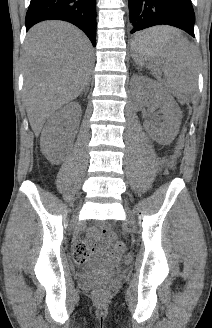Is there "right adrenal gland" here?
Returning a JSON list of instances; mask_svg holds the SVG:
<instances>
[{"instance_id": "1", "label": "right adrenal gland", "mask_w": 212, "mask_h": 328, "mask_svg": "<svg viewBox=\"0 0 212 328\" xmlns=\"http://www.w3.org/2000/svg\"><path fill=\"white\" fill-rule=\"evenodd\" d=\"M88 90H89V86H87V88H86L85 92L87 93V92H88Z\"/></svg>"}]
</instances>
